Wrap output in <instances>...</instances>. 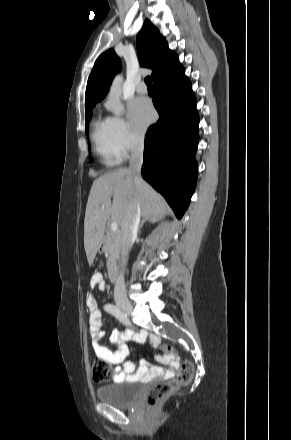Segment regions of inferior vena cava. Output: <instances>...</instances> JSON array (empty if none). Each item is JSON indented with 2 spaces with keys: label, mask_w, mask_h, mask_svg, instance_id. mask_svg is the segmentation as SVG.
Listing matches in <instances>:
<instances>
[{
  "label": "inferior vena cava",
  "mask_w": 291,
  "mask_h": 440,
  "mask_svg": "<svg viewBox=\"0 0 291 440\" xmlns=\"http://www.w3.org/2000/svg\"><path fill=\"white\" fill-rule=\"evenodd\" d=\"M144 139L135 140L132 151L129 170L133 174L134 183L139 185L141 180V167L143 164ZM140 206L138 200L134 198L126 209L121 229V248L122 261L125 264L127 254L131 249L134 239L137 236L138 226L140 222ZM114 300L116 303H125L127 301L126 287L123 273H120L115 287Z\"/></svg>",
  "instance_id": "obj_1"
}]
</instances>
